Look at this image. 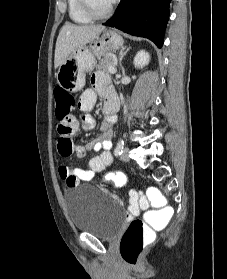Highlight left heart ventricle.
Returning a JSON list of instances; mask_svg holds the SVG:
<instances>
[{
	"instance_id": "b2bd125f",
	"label": "left heart ventricle",
	"mask_w": 227,
	"mask_h": 279,
	"mask_svg": "<svg viewBox=\"0 0 227 279\" xmlns=\"http://www.w3.org/2000/svg\"><path fill=\"white\" fill-rule=\"evenodd\" d=\"M92 8L99 14L107 11L111 5V0H89Z\"/></svg>"
}]
</instances>
